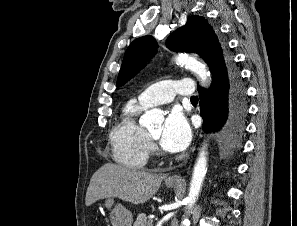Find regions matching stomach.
<instances>
[{
	"mask_svg": "<svg viewBox=\"0 0 297 226\" xmlns=\"http://www.w3.org/2000/svg\"><path fill=\"white\" fill-rule=\"evenodd\" d=\"M167 187H174L175 183H166ZM104 206L111 210L110 221L113 226H132L133 216L132 213L121 204L114 205L113 198H107ZM114 206V207H113ZM113 207V208H112Z\"/></svg>",
	"mask_w": 297,
	"mask_h": 226,
	"instance_id": "stomach-1",
	"label": "stomach"
}]
</instances>
